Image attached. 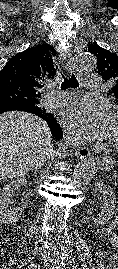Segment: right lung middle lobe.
Masks as SVG:
<instances>
[{"instance_id":"dd1d6c3e","label":"right lung middle lobe","mask_w":118,"mask_h":269,"mask_svg":"<svg viewBox=\"0 0 118 269\" xmlns=\"http://www.w3.org/2000/svg\"><path fill=\"white\" fill-rule=\"evenodd\" d=\"M18 102H21V103H24V104L31 105V103L29 102V100H27V99H23V98H18Z\"/></svg>"}]
</instances>
